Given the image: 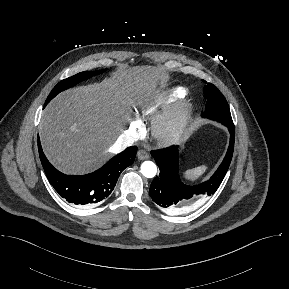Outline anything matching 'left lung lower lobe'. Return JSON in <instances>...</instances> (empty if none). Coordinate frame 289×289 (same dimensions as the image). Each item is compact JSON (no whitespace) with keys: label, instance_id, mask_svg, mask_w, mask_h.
I'll list each match as a JSON object with an SVG mask.
<instances>
[{"label":"left lung lower lobe","instance_id":"left-lung-lower-lobe-1","mask_svg":"<svg viewBox=\"0 0 289 289\" xmlns=\"http://www.w3.org/2000/svg\"><path fill=\"white\" fill-rule=\"evenodd\" d=\"M224 125L230 132L227 153L212 177L201 184L188 186L180 180L178 146L151 152L160 169V174L153 179L149 193L152 200L162 210L171 214L187 212L217 191L229 168L234 150V125L233 123Z\"/></svg>","mask_w":289,"mask_h":289}]
</instances>
